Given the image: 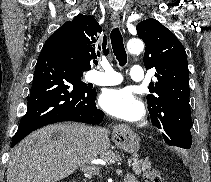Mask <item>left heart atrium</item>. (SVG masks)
I'll return each mask as SVG.
<instances>
[{
    "mask_svg": "<svg viewBox=\"0 0 211 182\" xmlns=\"http://www.w3.org/2000/svg\"><path fill=\"white\" fill-rule=\"evenodd\" d=\"M100 105L111 116L125 121H136L143 114L142 103L126 88L105 90Z\"/></svg>",
    "mask_w": 211,
    "mask_h": 182,
    "instance_id": "1",
    "label": "left heart atrium"
}]
</instances>
